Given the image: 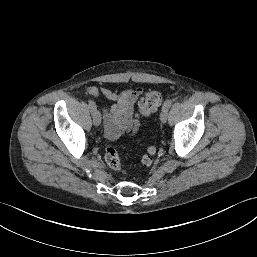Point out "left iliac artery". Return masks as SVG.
<instances>
[{
  "mask_svg": "<svg viewBox=\"0 0 257 257\" xmlns=\"http://www.w3.org/2000/svg\"><path fill=\"white\" fill-rule=\"evenodd\" d=\"M171 104H172V100L171 99L166 100L164 102V104H163L162 109H166L168 111V109L170 108Z\"/></svg>",
  "mask_w": 257,
  "mask_h": 257,
  "instance_id": "left-iliac-artery-1",
  "label": "left iliac artery"
}]
</instances>
